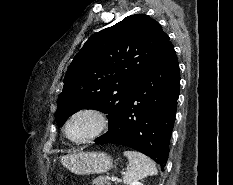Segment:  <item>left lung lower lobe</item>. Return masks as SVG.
Here are the masks:
<instances>
[{"mask_svg":"<svg viewBox=\"0 0 233 185\" xmlns=\"http://www.w3.org/2000/svg\"><path fill=\"white\" fill-rule=\"evenodd\" d=\"M179 88V63L169 41L136 83L132 98L122 110L117 123L95 142L136 149L160 164L164 170Z\"/></svg>","mask_w":233,"mask_h":185,"instance_id":"obj_1","label":"left lung lower lobe"}]
</instances>
